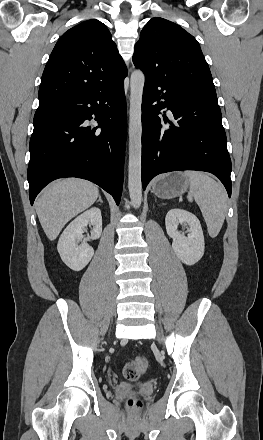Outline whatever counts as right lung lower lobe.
I'll use <instances>...</instances> for the list:
<instances>
[{
	"label": "right lung lower lobe",
	"mask_w": 263,
	"mask_h": 440,
	"mask_svg": "<svg viewBox=\"0 0 263 440\" xmlns=\"http://www.w3.org/2000/svg\"><path fill=\"white\" fill-rule=\"evenodd\" d=\"M99 123L86 126L92 116ZM127 132L124 79L70 97L34 125L27 178L30 203L57 178L92 181L120 203Z\"/></svg>",
	"instance_id": "1"
}]
</instances>
